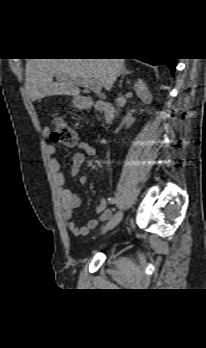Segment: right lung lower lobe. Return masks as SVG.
<instances>
[{
  "label": "right lung lower lobe",
  "instance_id": "right-lung-lower-lobe-1",
  "mask_svg": "<svg viewBox=\"0 0 206 348\" xmlns=\"http://www.w3.org/2000/svg\"><path fill=\"white\" fill-rule=\"evenodd\" d=\"M149 64L157 65V64H166L173 74L175 71V59L174 58H151V59H141Z\"/></svg>",
  "mask_w": 206,
  "mask_h": 348
}]
</instances>
